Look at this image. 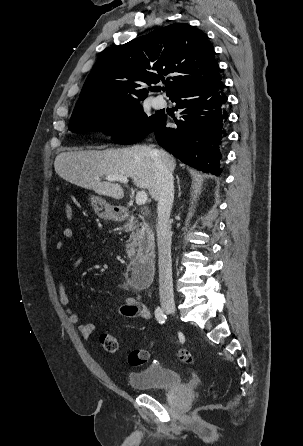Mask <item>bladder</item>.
<instances>
[{
	"mask_svg": "<svg viewBox=\"0 0 303 446\" xmlns=\"http://www.w3.org/2000/svg\"><path fill=\"white\" fill-rule=\"evenodd\" d=\"M131 388L138 391H165L184 385L182 375L170 368L150 366L128 375Z\"/></svg>",
	"mask_w": 303,
	"mask_h": 446,
	"instance_id": "obj_1",
	"label": "bladder"
}]
</instances>
